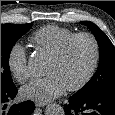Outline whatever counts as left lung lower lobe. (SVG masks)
<instances>
[{"label":"left lung lower lobe","mask_w":115,"mask_h":115,"mask_svg":"<svg viewBox=\"0 0 115 115\" xmlns=\"http://www.w3.org/2000/svg\"><path fill=\"white\" fill-rule=\"evenodd\" d=\"M65 115H115V92L82 99L71 96L65 104Z\"/></svg>","instance_id":"left-lung-lower-lobe-1"}]
</instances>
